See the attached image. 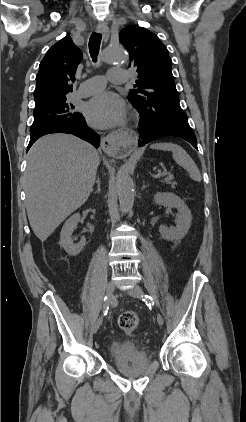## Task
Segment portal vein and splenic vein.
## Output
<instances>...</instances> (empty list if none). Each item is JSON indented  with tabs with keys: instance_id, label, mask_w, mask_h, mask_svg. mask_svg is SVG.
<instances>
[{
	"instance_id": "18ae733b",
	"label": "portal vein and splenic vein",
	"mask_w": 246,
	"mask_h": 422,
	"mask_svg": "<svg viewBox=\"0 0 246 422\" xmlns=\"http://www.w3.org/2000/svg\"><path fill=\"white\" fill-rule=\"evenodd\" d=\"M168 174H169L168 171H164L163 173H159L157 176H165V175H168Z\"/></svg>"
}]
</instances>
